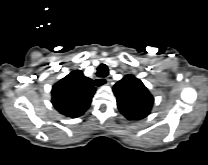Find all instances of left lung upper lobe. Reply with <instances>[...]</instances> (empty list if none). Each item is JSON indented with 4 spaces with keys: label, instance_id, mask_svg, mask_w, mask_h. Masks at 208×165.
I'll return each mask as SVG.
<instances>
[{
    "label": "left lung upper lobe",
    "instance_id": "obj_1",
    "mask_svg": "<svg viewBox=\"0 0 208 165\" xmlns=\"http://www.w3.org/2000/svg\"><path fill=\"white\" fill-rule=\"evenodd\" d=\"M120 112L129 120H140L150 114L154 98L141 80L126 75L112 88Z\"/></svg>",
    "mask_w": 208,
    "mask_h": 165
}]
</instances>
